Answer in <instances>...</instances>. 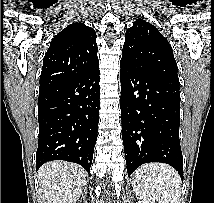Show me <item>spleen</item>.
<instances>
[{"label":"spleen","mask_w":214,"mask_h":203,"mask_svg":"<svg viewBox=\"0 0 214 203\" xmlns=\"http://www.w3.org/2000/svg\"><path fill=\"white\" fill-rule=\"evenodd\" d=\"M134 192L147 203H180L181 179L165 164H146L132 178Z\"/></svg>","instance_id":"1"}]
</instances>
